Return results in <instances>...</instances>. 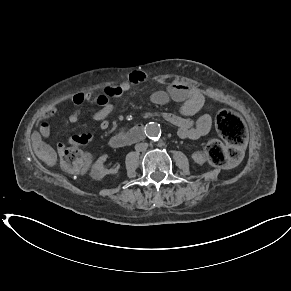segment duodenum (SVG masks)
I'll use <instances>...</instances> for the list:
<instances>
[{
  "mask_svg": "<svg viewBox=\"0 0 291 291\" xmlns=\"http://www.w3.org/2000/svg\"><path fill=\"white\" fill-rule=\"evenodd\" d=\"M164 118V115H163ZM144 137L143 125H137L125 134L116 135L110 139V146L121 148L140 141Z\"/></svg>",
  "mask_w": 291,
  "mask_h": 291,
  "instance_id": "obj_1",
  "label": "duodenum"
}]
</instances>
